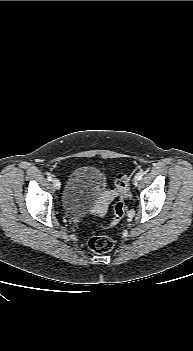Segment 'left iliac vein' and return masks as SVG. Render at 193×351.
I'll return each instance as SVG.
<instances>
[{
    "mask_svg": "<svg viewBox=\"0 0 193 351\" xmlns=\"http://www.w3.org/2000/svg\"><path fill=\"white\" fill-rule=\"evenodd\" d=\"M133 184H134L135 186L138 185V180H137L136 178L134 179Z\"/></svg>",
    "mask_w": 193,
    "mask_h": 351,
    "instance_id": "left-iliac-vein-1",
    "label": "left iliac vein"
}]
</instances>
